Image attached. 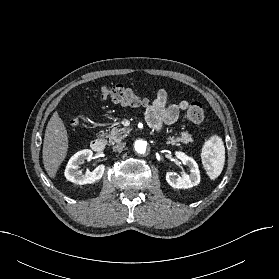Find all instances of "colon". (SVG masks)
<instances>
[{
	"label": "colon",
	"instance_id": "colon-1",
	"mask_svg": "<svg viewBox=\"0 0 279 279\" xmlns=\"http://www.w3.org/2000/svg\"><path fill=\"white\" fill-rule=\"evenodd\" d=\"M100 95L102 99H109L115 103L126 106L139 107L147 104L146 98L137 95L131 89L122 85L104 86L101 88ZM186 117L191 122L200 124L202 133H207L208 129L205 122V112L199 102H193L189 105Z\"/></svg>",
	"mask_w": 279,
	"mask_h": 279
}]
</instances>
